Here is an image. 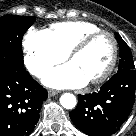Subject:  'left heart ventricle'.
<instances>
[{
    "instance_id": "1",
    "label": "left heart ventricle",
    "mask_w": 136,
    "mask_h": 136,
    "mask_svg": "<svg viewBox=\"0 0 136 136\" xmlns=\"http://www.w3.org/2000/svg\"><path fill=\"white\" fill-rule=\"evenodd\" d=\"M112 57V41L109 36L101 35L93 40L80 54L70 60L89 81L99 76L109 65Z\"/></svg>"
}]
</instances>
